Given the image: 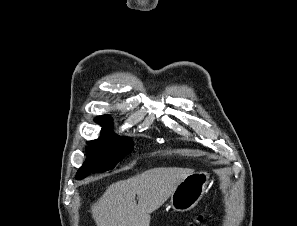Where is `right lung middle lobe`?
<instances>
[{
  "label": "right lung middle lobe",
  "instance_id": "right-lung-middle-lobe-1",
  "mask_svg": "<svg viewBox=\"0 0 297 226\" xmlns=\"http://www.w3.org/2000/svg\"><path fill=\"white\" fill-rule=\"evenodd\" d=\"M133 149L129 137L117 136L109 130H103L99 139L89 141L86 147L87 160L79 169L76 179L85 178L89 171L105 172L112 170L116 164Z\"/></svg>",
  "mask_w": 297,
  "mask_h": 226
}]
</instances>
